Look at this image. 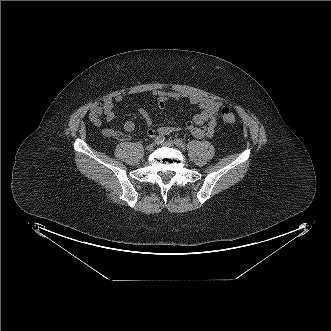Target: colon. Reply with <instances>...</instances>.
Listing matches in <instances>:
<instances>
[{
  "label": "colon",
  "mask_w": 331,
  "mask_h": 331,
  "mask_svg": "<svg viewBox=\"0 0 331 331\" xmlns=\"http://www.w3.org/2000/svg\"><path fill=\"white\" fill-rule=\"evenodd\" d=\"M221 116L225 125L231 127L236 124V117L228 107H223L221 109Z\"/></svg>",
  "instance_id": "colon-1"
}]
</instances>
